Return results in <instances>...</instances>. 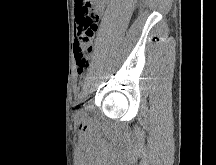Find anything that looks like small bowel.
Wrapping results in <instances>:
<instances>
[{
    "label": "small bowel",
    "instance_id": "c3829d8e",
    "mask_svg": "<svg viewBox=\"0 0 216 165\" xmlns=\"http://www.w3.org/2000/svg\"><path fill=\"white\" fill-rule=\"evenodd\" d=\"M109 0H75L77 27L83 17L82 11L90 10L98 17L103 14Z\"/></svg>",
    "mask_w": 216,
    "mask_h": 165
}]
</instances>
